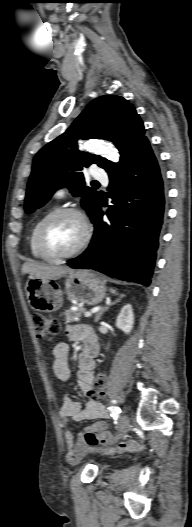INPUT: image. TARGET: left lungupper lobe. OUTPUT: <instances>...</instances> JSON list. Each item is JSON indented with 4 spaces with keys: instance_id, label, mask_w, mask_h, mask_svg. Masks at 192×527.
<instances>
[{
    "instance_id": "left-lung-upper-lobe-1",
    "label": "left lung upper lobe",
    "mask_w": 192,
    "mask_h": 527,
    "mask_svg": "<svg viewBox=\"0 0 192 527\" xmlns=\"http://www.w3.org/2000/svg\"><path fill=\"white\" fill-rule=\"evenodd\" d=\"M142 120L134 106L120 96H101L90 102L66 132L44 146L33 160L28 182L25 211L32 213L63 186L78 190L82 206L94 221L101 196L84 186L82 170L97 164L108 174L117 172L134 150L147 138ZM101 138L112 141L120 151L115 164L98 155L78 150V139ZM76 195V194H74Z\"/></svg>"
}]
</instances>
